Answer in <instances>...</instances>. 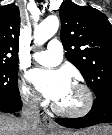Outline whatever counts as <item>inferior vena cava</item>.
Returning a JSON list of instances; mask_svg holds the SVG:
<instances>
[{
    "label": "inferior vena cava",
    "mask_w": 112,
    "mask_h": 135,
    "mask_svg": "<svg viewBox=\"0 0 112 135\" xmlns=\"http://www.w3.org/2000/svg\"><path fill=\"white\" fill-rule=\"evenodd\" d=\"M39 102L37 98H33L25 103L22 109L21 119L19 120L21 127L25 130L26 135H34L40 122Z\"/></svg>",
    "instance_id": "1"
}]
</instances>
